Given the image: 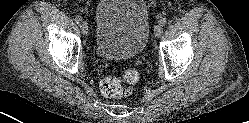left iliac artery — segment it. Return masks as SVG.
I'll return each mask as SVG.
<instances>
[{
	"mask_svg": "<svg viewBox=\"0 0 249 123\" xmlns=\"http://www.w3.org/2000/svg\"><path fill=\"white\" fill-rule=\"evenodd\" d=\"M159 22L162 26H165L167 24L166 18H162Z\"/></svg>",
	"mask_w": 249,
	"mask_h": 123,
	"instance_id": "left-iliac-artery-1",
	"label": "left iliac artery"
}]
</instances>
